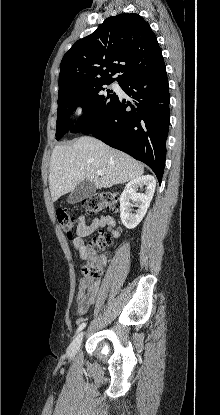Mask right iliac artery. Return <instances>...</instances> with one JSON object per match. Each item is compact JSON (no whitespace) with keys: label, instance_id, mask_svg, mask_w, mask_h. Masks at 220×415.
I'll return each instance as SVG.
<instances>
[{"label":"right iliac artery","instance_id":"right-iliac-artery-1","mask_svg":"<svg viewBox=\"0 0 220 415\" xmlns=\"http://www.w3.org/2000/svg\"><path fill=\"white\" fill-rule=\"evenodd\" d=\"M85 326H86V323H85V322L81 323V324L79 325V327H78V329H77L76 333H78V332H80L82 329H84V328H85Z\"/></svg>","mask_w":220,"mask_h":415}]
</instances>
